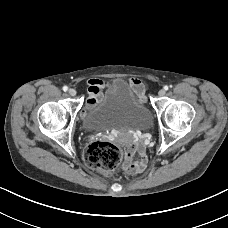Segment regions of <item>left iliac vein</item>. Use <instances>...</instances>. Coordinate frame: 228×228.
Wrapping results in <instances>:
<instances>
[{
  "instance_id": "obj_1",
  "label": "left iliac vein",
  "mask_w": 228,
  "mask_h": 228,
  "mask_svg": "<svg viewBox=\"0 0 228 228\" xmlns=\"http://www.w3.org/2000/svg\"><path fill=\"white\" fill-rule=\"evenodd\" d=\"M165 90L164 89H161V90H159V92H158V95L160 96V97H162V96H164L165 95Z\"/></svg>"
}]
</instances>
